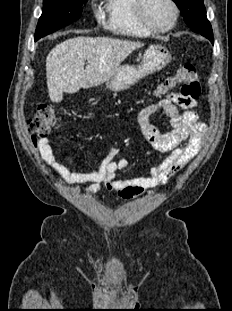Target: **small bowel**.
Returning <instances> with one entry per match:
<instances>
[{"mask_svg": "<svg viewBox=\"0 0 232 311\" xmlns=\"http://www.w3.org/2000/svg\"><path fill=\"white\" fill-rule=\"evenodd\" d=\"M196 106V100L181 93H170L140 110L137 122L147 142L156 151L169 153L150 168L147 176L118 178L117 173L128 168L130 161L126 158L114 160L118 155L115 149L110 150L99 164L87 165L56 151L45 136H32L31 142L61 181L87 183L89 186L86 191L90 194L100 191L104 186L116 191L123 199H134L141 197L148 189L165 184L198 154L207 129L194 110ZM157 111H163L169 118L172 131L162 133L151 123L150 117Z\"/></svg>", "mask_w": 232, "mask_h": 311, "instance_id": "small-bowel-1", "label": "small bowel"}]
</instances>
